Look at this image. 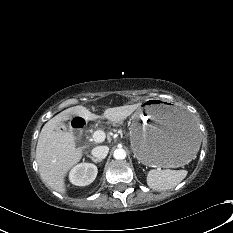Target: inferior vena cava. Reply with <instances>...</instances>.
<instances>
[{
    "mask_svg": "<svg viewBox=\"0 0 233 233\" xmlns=\"http://www.w3.org/2000/svg\"><path fill=\"white\" fill-rule=\"evenodd\" d=\"M108 152L109 148L107 146H97L91 151L92 155L98 159L106 158Z\"/></svg>",
    "mask_w": 233,
    "mask_h": 233,
    "instance_id": "602c4592",
    "label": "inferior vena cava"
}]
</instances>
